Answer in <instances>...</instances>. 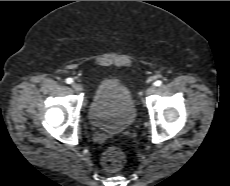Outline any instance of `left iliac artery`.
I'll use <instances>...</instances> for the list:
<instances>
[{
    "instance_id": "obj_1",
    "label": "left iliac artery",
    "mask_w": 230,
    "mask_h": 186,
    "mask_svg": "<svg viewBox=\"0 0 230 186\" xmlns=\"http://www.w3.org/2000/svg\"><path fill=\"white\" fill-rule=\"evenodd\" d=\"M162 85V81L161 80H157L154 82V86H161Z\"/></svg>"
}]
</instances>
